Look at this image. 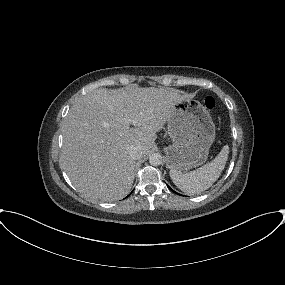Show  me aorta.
<instances>
[{
  "instance_id": "1",
  "label": "aorta",
  "mask_w": 285,
  "mask_h": 285,
  "mask_svg": "<svg viewBox=\"0 0 285 285\" xmlns=\"http://www.w3.org/2000/svg\"><path fill=\"white\" fill-rule=\"evenodd\" d=\"M149 163L152 166H158L162 163V156L158 153H153L149 156Z\"/></svg>"
}]
</instances>
